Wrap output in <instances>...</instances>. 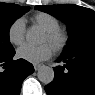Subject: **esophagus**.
I'll return each mask as SVG.
<instances>
[{
	"label": "esophagus",
	"mask_w": 95,
	"mask_h": 95,
	"mask_svg": "<svg viewBox=\"0 0 95 95\" xmlns=\"http://www.w3.org/2000/svg\"><path fill=\"white\" fill-rule=\"evenodd\" d=\"M41 64H34V69L37 71L41 68Z\"/></svg>",
	"instance_id": "esophagus-1"
}]
</instances>
